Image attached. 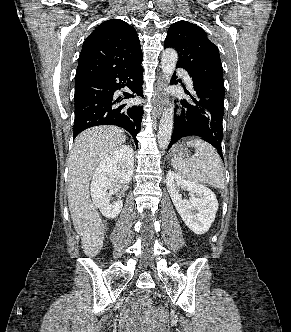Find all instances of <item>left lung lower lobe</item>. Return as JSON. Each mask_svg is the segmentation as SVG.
Returning a JSON list of instances; mask_svg holds the SVG:
<instances>
[{
    "instance_id": "1",
    "label": "left lung lower lobe",
    "mask_w": 291,
    "mask_h": 332,
    "mask_svg": "<svg viewBox=\"0 0 291 332\" xmlns=\"http://www.w3.org/2000/svg\"><path fill=\"white\" fill-rule=\"evenodd\" d=\"M173 77V84H176ZM193 92L190 100H180L185 107L176 116L174 130L168 149L180 138L198 136L215 147L223 160L224 81L216 77L193 76Z\"/></svg>"
}]
</instances>
